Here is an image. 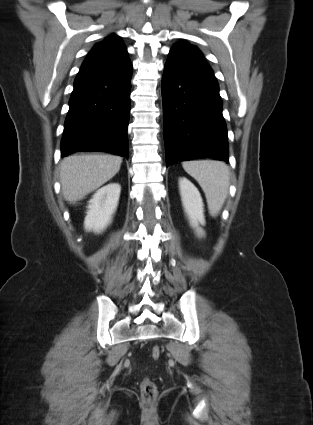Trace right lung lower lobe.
<instances>
[{
  "mask_svg": "<svg viewBox=\"0 0 313 425\" xmlns=\"http://www.w3.org/2000/svg\"><path fill=\"white\" fill-rule=\"evenodd\" d=\"M130 60L87 59L74 81L61 156L99 151L128 157Z\"/></svg>",
  "mask_w": 313,
  "mask_h": 425,
  "instance_id": "right-lung-lower-lobe-1",
  "label": "right lung lower lobe"
}]
</instances>
